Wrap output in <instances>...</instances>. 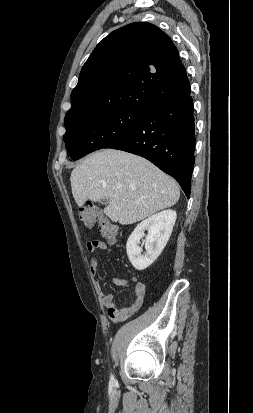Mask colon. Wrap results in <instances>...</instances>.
<instances>
[{
	"instance_id": "obj_1",
	"label": "colon",
	"mask_w": 253,
	"mask_h": 413,
	"mask_svg": "<svg viewBox=\"0 0 253 413\" xmlns=\"http://www.w3.org/2000/svg\"><path fill=\"white\" fill-rule=\"evenodd\" d=\"M79 218L86 227H92L98 222L103 237L109 243H114L117 240L118 232L116 226L103 215L98 206L92 203L83 206L79 209Z\"/></svg>"
}]
</instances>
